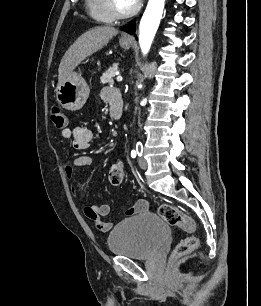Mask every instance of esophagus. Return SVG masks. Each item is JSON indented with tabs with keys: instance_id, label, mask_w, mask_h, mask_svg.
Segmentation results:
<instances>
[{
	"instance_id": "obj_1",
	"label": "esophagus",
	"mask_w": 261,
	"mask_h": 306,
	"mask_svg": "<svg viewBox=\"0 0 261 306\" xmlns=\"http://www.w3.org/2000/svg\"><path fill=\"white\" fill-rule=\"evenodd\" d=\"M123 39H124V40H131V37H130V36H127V35H124V36H123Z\"/></svg>"
}]
</instances>
